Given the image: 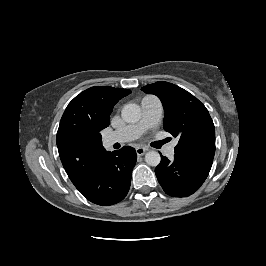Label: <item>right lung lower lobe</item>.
Returning <instances> with one entry per match:
<instances>
[{
	"label": "right lung lower lobe",
	"instance_id": "1",
	"mask_svg": "<svg viewBox=\"0 0 266 266\" xmlns=\"http://www.w3.org/2000/svg\"><path fill=\"white\" fill-rule=\"evenodd\" d=\"M136 157L135 150L129 146L108 151L90 182L79 191L98 205L107 206L120 202L129 191Z\"/></svg>",
	"mask_w": 266,
	"mask_h": 266
}]
</instances>
